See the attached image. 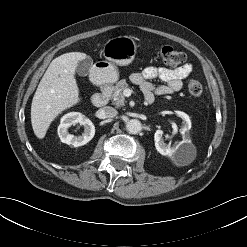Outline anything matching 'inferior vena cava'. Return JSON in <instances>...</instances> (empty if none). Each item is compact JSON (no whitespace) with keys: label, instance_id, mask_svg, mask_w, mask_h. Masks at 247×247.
<instances>
[{"label":"inferior vena cava","instance_id":"obj_1","mask_svg":"<svg viewBox=\"0 0 247 247\" xmlns=\"http://www.w3.org/2000/svg\"><path fill=\"white\" fill-rule=\"evenodd\" d=\"M100 113L105 118H114L118 114L117 110L110 106H105L101 108Z\"/></svg>","mask_w":247,"mask_h":247}]
</instances>
